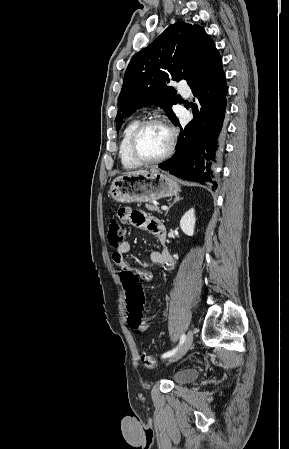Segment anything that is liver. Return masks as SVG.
I'll use <instances>...</instances> for the list:
<instances>
[{"instance_id":"1","label":"liver","mask_w":289,"mask_h":449,"mask_svg":"<svg viewBox=\"0 0 289 449\" xmlns=\"http://www.w3.org/2000/svg\"><path fill=\"white\" fill-rule=\"evenodd\" d=\"M147 170H137V171H132V172H128L125 173L126 175H137V174H143V173H147Z\"/></svg>"}]
</instances>
